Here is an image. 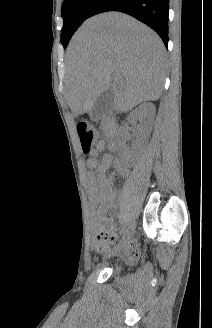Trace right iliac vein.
<instances>
[{"label":"right iliac vein","instance_id":"obj_1","mask_svg":"<svg viewBox=\"0 0 212 328\" xmlns=\"http://www.w3.org/2000/svg\"><path fill=\"white\" fill-rule=\"evenodd\" d=\"M134 230H135V225L130 224L128 226V228L126 229L125 235H124L121 243L115 248V250L110 255H115L118 252H120L122 249H124V247L126 246L128 241L130 240L132 234L134 233Z\"/></svg>","mask_w":212,"mask_h":328}]
</instances>
